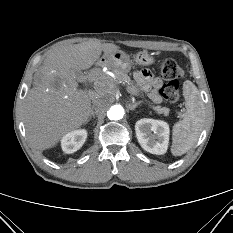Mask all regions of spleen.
<instances>
[{
	"label": "spleen",
	"mask_w": 233,
	"mask_h": 233,
	"mask_svg": "<svg viewBox=\"0 0 233 233\" xmlns=\"http://www.w3.org/2000/svg\"><path fill=\"white\" fill-rule=\"evenodd\" d=\"M186 113L184 118L173 126L171 152L181 156L197 142L204 121V107L199 90L189 80L183 84Z\"/></svg>",
	"instance_id": "spleen-1"
}]
</instances>
